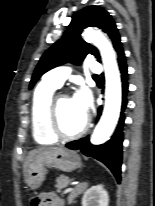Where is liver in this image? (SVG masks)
<instances>
[{
  "label": "liver",
  "instance_id": "obj_1",
  "mask_svg": "<svg viewBox=\"0 0 155 206\" xmlns=\"http://www.w3.org/2000/svg\"><path fill=\"white\" fill-rule=\"evenodd\" d=\"M57 148H53V147H40V148H37V149H34V150H31L29 153H28V156L24 162V174H26V171L28 169V166L32 160V158L40 153V152H43V151H49V150H55Z\"/></svg>",
  "mask_w": 155,
  "mask_h": 206
}]
</instances>
